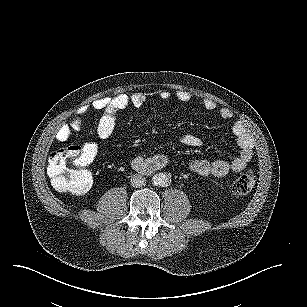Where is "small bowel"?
I'll use <instances>...</instances> for the list:
<instances>
[{
	"label": "small bowel",
	"instance_id": "1",
	"mask_svg": "<svg viewBox=\"0 0 307 307\" xmlns=\"http://www.w3.org/2000/svg\"><path fill=\"white\" fill-rule=\"evenodd\" d=\"M162 99H169L171 93L164 90L160 93ZM176 98L180 102H189L191 95L186 91H178ZM146 102V96L143 93H134L131 95L121 94L113 98H102L94 101L91 106L102 112L100 117L97 134L101 139L109 138L115 128L119 114L129 106L141 107ZM202 106L208 111H216L219 117L225 121L231 122V131L236 138L237 145L240 149L239 153L230 160H215L212 162L198 160L191 163V170L201 176L222 177L229 172H240L252 160L254 155V144L251 136L247 132L241 121L233 119V112L225 107H218L211 99L204 98L201 101ZM89 111V105L80 107L70 118L64 123L57 132L56 139L59 143H66L74 132L80 131L83 121ZM181 142L188 146H201L202 140L192 134H183L180 138ZM83 157L86 163L91 164L97 156L98 145L95 142H88L82 146ZM133 167L136 169H159L165 166L166 159L162 155L145 159L141 156L136 157L133 161Z\"/></svg>",
	"mask_w": 307,
	"mask_h": 307
}]
</instances>
